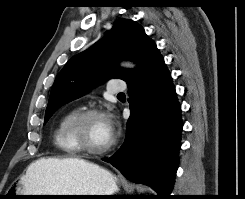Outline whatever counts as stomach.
Instances as JSON below:
<instances>
[{
	"label": "stomach",
	"instance_id": "stomach-1",
	"mask_svg": "<svg viewBox=\"0 0 245 199\" xmlns=\"http://www.w3.org/2000/svg\"><path fill=\"white\" fill-rule=\"evenodd\" d=\"M117 178L93 163L71 165L66 170L50 173L32 188L25 180L9 189L14 195H113L118 190ZM34 187V186H33ZM20 198L26 196H19ZM92 197H41V199H73Z\"/></svg>",
	"mask_w": 245,
	"mask_h": 199
}]
</instances>
